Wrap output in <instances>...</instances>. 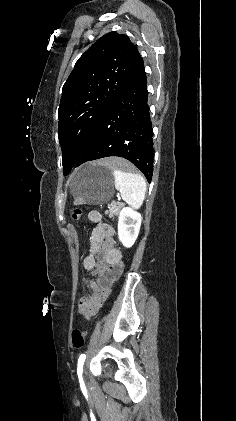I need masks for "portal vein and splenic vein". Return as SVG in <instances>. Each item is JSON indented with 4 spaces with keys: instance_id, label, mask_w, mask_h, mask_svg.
I'll return each instance as SVG.
<instances>
[{
    "instance_id": "1",
    "label": "portal vein and splenic vein",
    "mask_w": 236,
    "mask_h": 421,
    "mask_svg": "<svg viewBox=\"0 0 236 421\" xmlns=\"http://www.w3.org/2000/svg\"><path fill=\"white\" fill-rule=\"evenodd\" d=\"M116 197H119V193H118V194H116Z\"/></svg>"
}]
</instances>
